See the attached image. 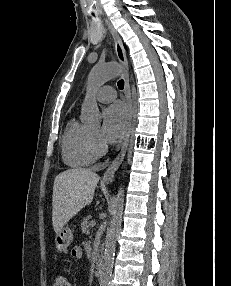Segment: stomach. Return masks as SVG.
I'll list each match as a JSON object with an SVG mask.
<instances>
[{
    "mask_svg": "<svg viewBox=\"0 0 231 286\" xmlns=\"http://www.w3.org/2000/svg\"><path fill=\"white\" fill-rule=\"evenodd\" d=\"M73 240V234L69 227H63L55 236V246L59 251H65Z\"/></svg>",
    "mask_w": 231,
    "mask_h": 286,
    "instance_id": "stomach-1",
    "label": "stomach"
}]
</instances>
